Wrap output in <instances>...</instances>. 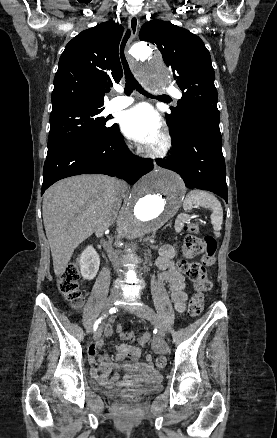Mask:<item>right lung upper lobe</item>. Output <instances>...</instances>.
<instances>
[{"instance_id": "cb5924a9", "label": "right lung upper lobe", "mask_w": 277, "mask_h": 438, "mask_svg": "<svg viewBox=\"0 0 277 438\" xmlns=\"http://www.w3.org/2000/svg\"><path fill=\"white\" fill-rule=\"evenodd\" d=\"M122 33L121 25L108 21L66 45L54 78L51 114L104 109V94L123 75L118 57Z\"/></svg>"}]
</instances>
